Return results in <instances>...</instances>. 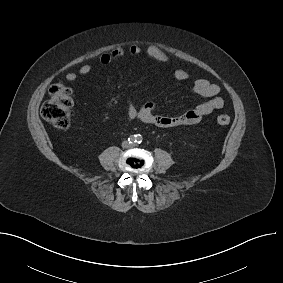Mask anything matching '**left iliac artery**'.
<instances>
[{"mask_svg": "<svg viewBox=\"0 0 283 283\" xmlns=\"http://www.w3.org/2000/svg\"><path fill=\"white\" fill-rule=\"evenodd\" d=\"M143 140L142 136L141 135H138L137 136V143H141Z\"/></svg>", "mask_w": 283, "mask_h": 283, "instance_id": "44dca946", "label": "left iliac artery"}]
</instances>
